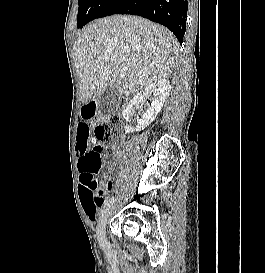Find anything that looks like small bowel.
I'll return each mask as SVG.
<instances>
[{"mask_svg": "<svg viewBox=\"0 0 265 273\" xmlns=\"http://www.w3.org/2000/svg\"><path fill=\"white\" fill-rule=\"evenodd\" d=\"M84 108H91V103H84ZM81 119H94V109H83V114H81ZM78 129H95V124H78ZM113 156L115 159H118L121 156L119 151H114ZM78 158V168L80 163V156L77 154ZM100 190L102 194H94V193H82V208L87 216V218L91 221H95L98 215V210L104 206L106 200V191L111 187L112 182L111 180H106L104 182L99 183Z\"/></svg>", "mask_w": 265, "mask_h": 273, "instance_id": "c3829d8e", "label": "small bowel"}]
</instances>
